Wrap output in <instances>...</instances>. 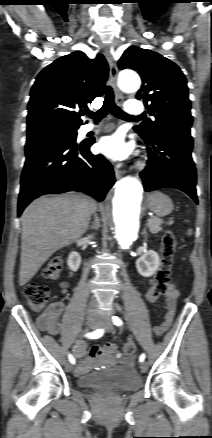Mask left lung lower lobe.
<instances>
[{
	"label": "left lung lower lobe",
	"instance_id": "0a47b994",
	"mask_svg": "<svg viewBox=\"0 0 212 438\" xmlns=\"http://www.w3.org/2000/svg\"><path fill=\"white\" fill-rule=\"evenodd\" d=\"M148 161L141 173L145 191L176 188L187 193L196 203V169L191 157L193 140L190 130H160L150 138Z\"/></svg>",
	"mask_w": 212,
	"mask_h": 438
}]
</instances>
